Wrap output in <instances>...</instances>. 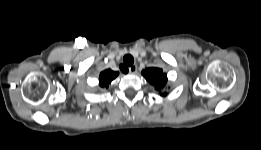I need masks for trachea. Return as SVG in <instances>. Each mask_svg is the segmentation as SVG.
I'll list each match as a JSON object with an SVG mask.
<instances>
[{"label": "trachea", "mask_w": 261, "mask_h": 150, "mask_svg": "<svg viewBox=\"0 0 261 150\" xmlns=\"http://www.w3.org/2000/svg\"><path fill=\"white\" fill-rule=\"evenodd\" d=\"M123 62H124V64H125V66L122 65V66L120 67L122 71H124V69H126V66H131V65L134 63V58H133L132 55L127 54V55L124 56Z\"/></svg>", "instance_id": "trachea-1"}]
</instances>
